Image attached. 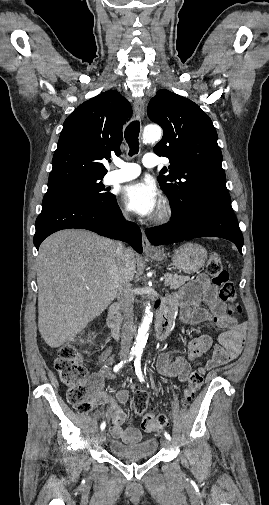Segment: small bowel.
Listing matches in <instances>:
<instances>
[{
    "instance_id": "small-bowel-1",
    "label": "small bowel",
    "mask_w": 269,
    "mask_h": 505,
    "mask_svg": "<svg viewBox=\"0 0 269 505\" xmlns=\"http://www.w3.org/2000/svg\"><path fill=\"white\" fill-rule=\"evenodd\" d=\"M174 309L181 308L180 319L188 326H196L203 323H212L224 331L219 335V344L214 345L207 335H200L188 343V357L178 355L173 361L169 360L166 353L159 355L157 359L158 371L165 376L176 377L184 382L191 372L189 361H194L203 355H208V360L201 371L216 368L238 357L242 350L247 325L238 322L226 313L225 303L219 299L217 290L209 282L205 274H200L195 281L187 284L172 298L168 299ZM110 350H107L99 359L101 367L97 380L99 385L105 377H113L110 372ZM104 402L108 405V414L111 417V435L115 439H121L127 443H136L141 439V433L135 426L123 428L126 414L120 404H127L129 393L120 390L116 395L105 394Z\"/></svg>"
}]
</instances>
